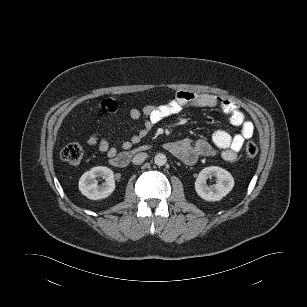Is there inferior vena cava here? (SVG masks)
<instances>
[{
  "label": "inferior vena cava",
  "mask_w": 307,
  "mask_h": 307,
  "mask_svg": "<svg viewBox=\"0 0 307 307\" xmlns=\"http://www.w3.org/2000/svg\"><path fill=\"white\" fill-rule=\"evenodd\" d=\"M147 156H148L147 153L144 152L138 153L133 157L132 162L135 165H139L146 160Z\"/></svg>",
  "instance_id": "inferior-vena-cava-1"
}]
</instances>
